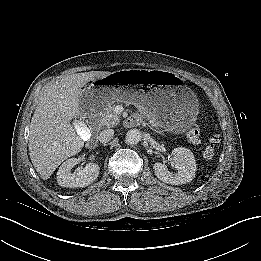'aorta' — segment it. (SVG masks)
<instances>
[{
    "label": "aorta",
    "mask_w": 261,
    "mask_h": 261,
    "mask_svg": "<svg viewBox=\"0 0 261 261\" xmlns=\"http://www.w3.org/2000/svg\"><path fill=\"white\" fill-rule=\"evenodd\" d=\"M142 139V134L138 129H131L126 133L125 141L127 144H138Z\"/></svg>",
    "instance_id": "aorta-1"
}]
</instances>
